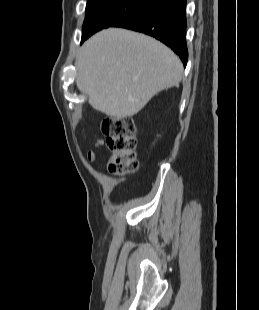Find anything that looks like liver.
Returning a JSON list of instances; mask_svg holds the SVG:
<instances>
[{"label": "liver", "mask_w": 259, "mask_h": 310, "mask_svg": "<svg viewBox=\"0 0 259 310\" xmlns=\"http://www.w3.org/2000/svg\"><path fill=\"white\" fill-rule=\"evenodd\" d=\"M75 65L77 87L89 104L118 119L137 114L155 94L179 86L184 70L164 44L119 28L89 38Z\"/></svg>", "instance_id": "1"}]
</instances>
